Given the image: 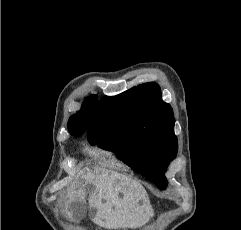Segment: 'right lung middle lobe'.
<instances>
[{"label": "right lung middle lobe", "mask_w": 241, "mask_h": 230, "mask_svg": "<svg viewBox=\"0 0 241 230\" xmlns=\"http://www.w3.org/2000/svg\"><path fill=\"white\" fill-rule=\"evenodd\" d=\"M83 133H84V131H76V132H73L71 134L74 135V136H79V135H82Z\"/></svg>", "instance_id": "dd1d6c3e"}]
</instances>
